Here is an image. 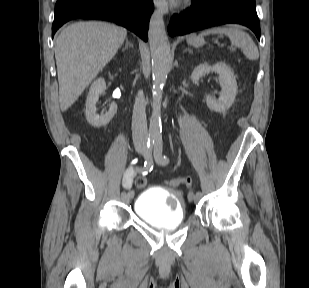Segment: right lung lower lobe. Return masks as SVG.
Wrapping results in <instances>:
<instances>
[{"instance_id":"98d812e1","label":"right lung lower lobe","mask_w":309,"mask_h":288,"mask_svg":"<svg viewBox=\"0 0 309 288\" xmlns=\"http://www.w3.org/2000/svg\"><path fill=\"white\" fill-rule=\"evenodd\" d=\"M152 8V0H57L52 38L67 21L87 18L116 22L147 41Z\"/></svg>"}]
</instances>
